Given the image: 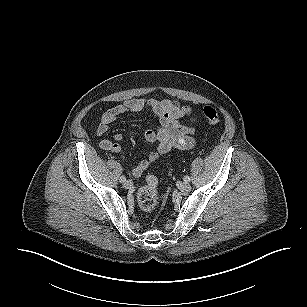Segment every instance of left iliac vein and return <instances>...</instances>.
Returning <instances> with one entry per match:
<instances>
[{"label":"left iliac vein","mask_w":307,"mask_h":307,"mask_svg":"<svg viewBox=\"0 0 307 307\" xmlns=\"http://www.w3.org/2000/svg\"><path fill=\"white\" fill-rule=\"evenodd\" d=\"M190 189H191V186L188 182H184L179 185V190L182 192H188L190 191Z\"/></svg>","instance_id":"1"}]
</instances>
